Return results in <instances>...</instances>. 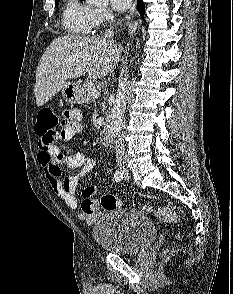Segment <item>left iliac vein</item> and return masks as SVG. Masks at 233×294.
<instances>
[{
  "instance_id": "obj_1",
  "label": "left iliac vein",
  "mask_w": 233,
  "mask_h": 294,
  "mask_svg": "<svg viewBox=\"0 0 233 294\" xmlns=\"http://www.w3.org/2000/svg\"><path fill=\"white\" fill-rule=\"evenodd\" d=\"M125 177L128 178L129 177V173L128 170L124 173Z\"/></svg>"
}]
</instances>
